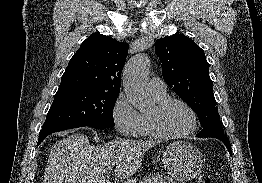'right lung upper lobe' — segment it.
<instances>
[{
	"instance_id": "cb5924a9",
	"label": "right lung upper lobe",
	"mask_w": 262,
	"mask_h": 183,
	"mask_svg": "<svg viewBox=\"0 0 262 183\" xmlns=\"http://www.w3.org/2000/svg\"><path fill=\"white\" fill-rule=\"evenodd\" d=\"M128 47L106 35L91 34L71 58L57 93L83 89L119 93Z\"/></svg>"
}]
</instances>
